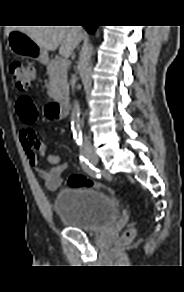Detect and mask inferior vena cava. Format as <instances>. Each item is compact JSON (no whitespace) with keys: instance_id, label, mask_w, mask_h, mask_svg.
<instances>
[{"instance_id":"obj_1","label":"inferior vena cava","mask_w":184,"mask_h":292,"mask_svg":"<svg viewBox=\"0 0 184 292\" xmlns=\"http://www.w3.org/2000/svg\"><path fill=\"white\" fill-rule=\"evenodd\" d=\"M83 151H89L91 150V143L88 140L86 136H83V146H82Z\"/></svg>"}]
</instances>
